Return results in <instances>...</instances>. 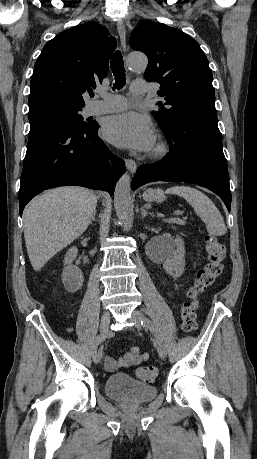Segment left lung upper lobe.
<instances>
[{
    "mask_svg": "<svg viewBox=\"0 0 257 459\" xmlns=\"http://www.w3.org/2000/svg\"><path fill=\"white\" fill-rule=\"evenodd\" d=\"M130 44L148 56L146 80L160 83L157 94L166 103L158 102L159 109L152 115L162 129L186 114L215 113L213 75L193 38L165 24L142 21L132 32Z\"/></svg>",
    "mask_w": 257,
    "mask_h": 459,
    "instance_id": "5c2ea615",
    "label": "left lung upper lobe"
}]
</instances>
